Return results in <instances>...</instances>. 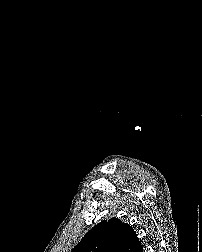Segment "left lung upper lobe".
I'll list each match as a JSON object with an SVG mask.
<instances>
[{
	"mask_svg": "<svg viewBox=\"0 0 202 252\" xmlns=\"http://www.w3.org/2000/svg\"><path fill=\"white\" fill-rule=\"evenodd\" d=\"M139 243L133 228L114 217L95 225L71 252H136Z\"/></svg>",
	"mask_w": 202,
	"mask_h": 252,
	"instance_id": "5c2ea615",
	"label": "left lung upper lobe"
}]
</instances>
